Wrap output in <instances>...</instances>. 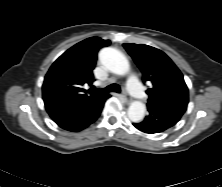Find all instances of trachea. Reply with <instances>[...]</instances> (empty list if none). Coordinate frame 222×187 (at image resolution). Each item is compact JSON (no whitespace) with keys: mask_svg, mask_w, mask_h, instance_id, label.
<instances>
[{"mask_svg":"<svg viewBox=\"0 0 222 187\" xmlns=\"http://www.w3.org/2000/svg\"><path fill=\"white\" fill-rule=\"evenodd\" d=\"M100 91H101V92H105V93H109V92H117V93H120V92H121V89H120V86H119V85H117V84H111V85L107 86L106 88L101 89Z\"/></svg>","mask_w":222,"mask_h":187,"instance_id":"obj_1","label":"trachea"}]
</instances>
